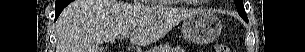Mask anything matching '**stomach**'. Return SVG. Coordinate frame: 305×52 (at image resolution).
<instances>
[{
	"label": "stomach",
	"instance_id": "0dacf381",
	"mask_svg": "<svg viewBox=\"0 0 305 52\" xmlns=\"http://www.w3.org/2000/svg\"><path fill=\"white\" fill-rule=\"evenodd\" d=\"M221 28L222 24L217 16L199 9L183 19L181 31L187 40L207 44L218 37Z\"/></svg>",
	"mask_w": 305,
	"mask_h": 52
}]
</instances>
